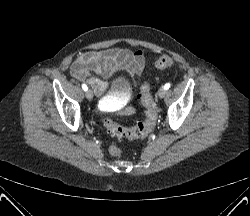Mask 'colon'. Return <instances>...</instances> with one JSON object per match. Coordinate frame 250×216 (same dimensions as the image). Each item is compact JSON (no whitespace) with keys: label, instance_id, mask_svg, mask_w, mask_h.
<instances>
[{"label":"colon","instance_id":"colon-1","mask_svg":"<svg viewBox=\"0 0 250 216\" xmlns=\"http://www.w3.org/2000/svg\"><path fill=\"white\" fill-rule=\"evenodd\" d=\"M174 61L169 55H161L155 61V67L159 70H165L173 67ZM139 100L145 107L144 117L134 126L123 127L113 121L110 117H104L103 124L110 134L118 138L136 139L147 136L154 129L157 120V106L151 93V87L148 82L143 83L140 88ZM112 156H120L122 151L116 144L109 148Z\"/></svg>","mask_w":250,"mask_h":216}]
</instances>
